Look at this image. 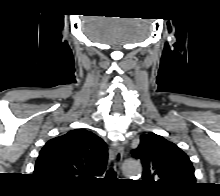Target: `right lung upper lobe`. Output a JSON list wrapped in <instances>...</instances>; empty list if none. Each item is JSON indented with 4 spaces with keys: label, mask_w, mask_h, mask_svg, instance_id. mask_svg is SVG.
<instances>
[{
    "label": "right lung upper lobe",
    "mask_w": 220,
    "mask_h": 196,
    "mask_svg": "<svg viewBox=\"0 0 220 196\" xmlns=\"http://www.w3.org/2000/svg\"><path fill=\"white\" fill-rule=\"evenodd\" d=\"M105 142L85 129L48 141L36 161L34 175L60 187H75L100 176L107 164Z\"/></svg>",
    "instance_id": "obj_1"
}]
</instances>
